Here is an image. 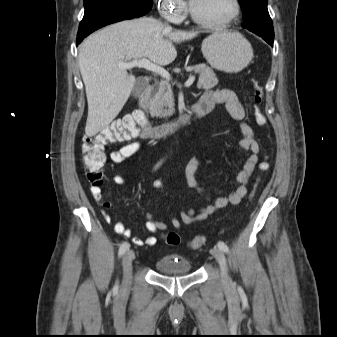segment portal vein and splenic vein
Returning a JSON list of instances; mask_svg holds the SVG:
<instances>
[{
  "label": "portal vein and splenic vein",
  "mask_w": 337,
  "mask_h": 337,
  "mask_svg": "<svg viewBox=\"0 0 337 337\" xmlns=\"http://www.w3.org/2000/svg\"><path fill=\"white\" fill-rule=\"evenodd\" d=\"M118 67L121 68V69H132L134 67L144 68L146 70L158 73L159 75H161L163 78H165L167 80H169L171 78L168 71H166L163 67L152 63L151 61H149L146 58L128 61V62L119 61ZM194 81H195V76H190L188 78V80L186 81L185 86L186 87L191 86Z\"/></svg>",
  "instance_id": "18ae733b"
}]
</instances>
